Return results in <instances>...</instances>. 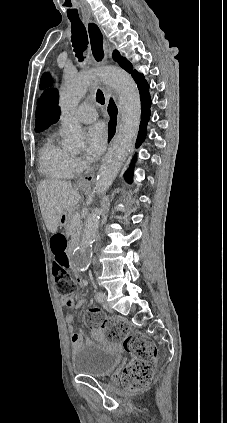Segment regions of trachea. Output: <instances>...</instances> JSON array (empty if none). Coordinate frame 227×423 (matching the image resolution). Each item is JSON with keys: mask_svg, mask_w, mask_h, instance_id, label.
<instances>
[{"mask_svg": "<svg viewBox=\"0 0 227 423\" xmlns=\"http://www.w3.org/2000/svg\"><path fill=\"white\" fill-rule=\"evenodd\" d=\"M71 22V42L76 54V57L79 59V62L83 61V52L85 51L88 45V35L86 28L80 19L69 18ZM96 101L101 105L105 103V97L103 92L98 89L96 93Z\"/></svg>", "mask_w": 227, "mask_h": 423, "instance_id": "trachea-1", "label": "trachea"}]
</instances>
